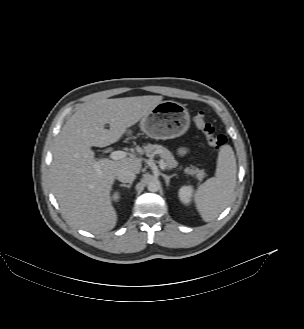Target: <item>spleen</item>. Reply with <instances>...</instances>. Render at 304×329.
<instances>
[{"instance_id":"obj_1","label":"spleen","mask_w":304,"mask_h":329,"mask_svg":"<svg viewBox=\"0 0 304 329\" xmlns=\"http://www.w3.org/2000/svg\"><path fill=\"white\" fill-rule=\"evenodd\" d=\"M236 158L230 145L221 147L215 177L199 186L194 201L205 222H210L230 203L236 186Z\"/></svg>"}]
</instances>
